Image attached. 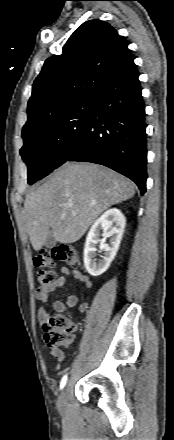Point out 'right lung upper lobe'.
<instances>
[{"mask_svg":"<svg viewBox=\"0 0 174 440\" xmlns=\"http://www.w3.org/2000/svg\"><path fill=\"white\" fill-rule=\"evenodd\" d=\"M133 60L128 45L109 23L86 21L70 36L62 54L45 61L33 84L23 130L92 96L99 85L121 73Z\"/></svg>","mask_w":174,"mask_h":440,"instance_id":"obj_1","label":"right lung upper lobe"}]
</instances>
